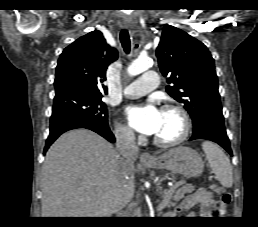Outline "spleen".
I'll list each match as a JSON object with an SVG mask.
<instances>
[{"mask_svg":"<svg viewBox=\"0 0 258 227\" xmlns=\"http://www.w3.org/2000/svg\"><path fill=\"white\" fill-rule=\"evenodd\" d=\"M201 146L220 184L226 188L232 187L233 173L229 158L216 144L210 141L203 142Z\"/></svg>","mask_w":258,"mask_h":227,"instance_id":"1","label":"spleen"}]
</instances>
